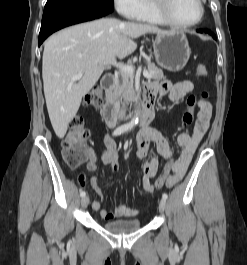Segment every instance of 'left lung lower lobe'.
<instances>
[{
  "label": "left lung lower lobe",
  "instance_id": "0a47b994",
  "mask_svg": "<svg viewBox=\"0 0 247 265\" xmlns=\"http://www.w3.org/2000/svg\"><path fill=\"white\" fill-rule=\"evenodd\" d=\"M197 32H199V33H202V32H203V30H202V29H199V30H197ZM206 32H208V33L212 34V33H211L210 31H208V30H206ZM212 35H213V38H216L214 34H212Z\"/></svg>",
  "mask_w": 247,
  "mask_h": 265
}]
</instances>
